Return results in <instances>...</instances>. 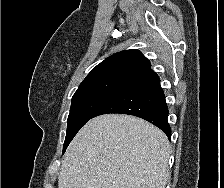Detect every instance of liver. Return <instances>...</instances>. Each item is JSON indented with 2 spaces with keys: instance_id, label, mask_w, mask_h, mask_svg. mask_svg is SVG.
Segmentation results:
<instances>
[{
  "instance_id": "1",
  "label": "liver",
  "mask_w": 224,
  "mask_h": 188,
  "mask_svg": "<svg viewBox=\"0 0 224 188\" xmlns=\"http://www.w3.org/2000/svg\"><path fill=\"white\" fill-rule=\"evenodd\" d=\"M170 144L149 122L106 114L88 121L62 160L58 188H165Z\"/></svg>"
}]
</instances>
